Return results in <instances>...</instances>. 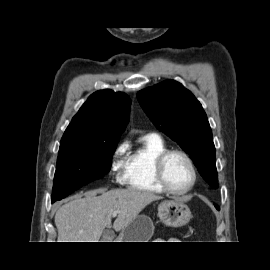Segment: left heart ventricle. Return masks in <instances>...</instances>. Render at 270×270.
Returning <instances> with one entry per match:
<instances>
[{"label": "left heart ventricle", "instance_id": "obj_1", "mask_svg": "<svg viewBox=\"0 0 270 270\" xmlns=\"http://www.w3.org/2000/svg\"><path fill=\"white\" fill-rule=\"evenodd\" d=\"M165 177L172 188L183 190L192 181V171L184 157L174 154L165 163Z\"/></svg>", "mask_w": 270, "mask_h": 270}]
</instances>
